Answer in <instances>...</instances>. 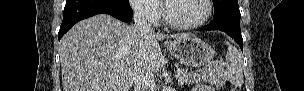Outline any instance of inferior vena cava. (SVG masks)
Returning <instances> with one entry per match:
<instances>
[{
	"label": "inferior vena cava",
	"mask_w": 304,
	"mask_h": 91,
	"mask_svg": "<svg viewBox=\"0 0 304 91\" xmlns=\"http://www.w3.org/2000/svg\"><path fill=\"white\" fill-rule=\"evenodd\" d=\"M134 23L140 37L153 32L150 23L147 21L146 9L141 6L134 8ZM134 91H154L155 81L153 72L145 67L138 68L133 77Z\"/></svg>",
	"instance_id": "obj_1"
}]
</instances>
